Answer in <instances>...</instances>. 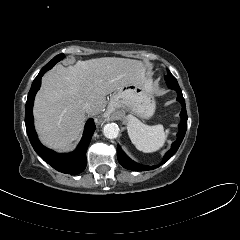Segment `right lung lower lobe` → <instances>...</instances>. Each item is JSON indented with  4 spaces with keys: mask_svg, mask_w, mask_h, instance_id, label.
Instances as JSON below:
<instances>
[{
    "mask_svg": "<svg viewBox=\"0 0 240 240\" xmlns=\"http://www.w3.org/2000/svg\"><path fill=\"white\" fill-rule=\"evenodd\" d=\"M55 64H46L37 77L34 79L28 94L25 110V125L30 143L36 153L56 170L70 175H76L84 171L87 165L86 151L91 141V137L96 129L93 119H89L85 125L83 137L74 152L59 154L44 147L38 140L33 124V102L36 92L41 86V77Z\"/></svg>",
    "mask_w": 240,
    "mask_h": 240,
    "instance_id": "1",
    "label": "right lung lower lobe"
}]
</instances>
